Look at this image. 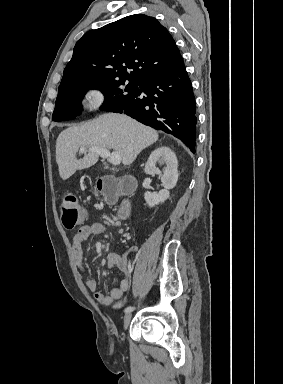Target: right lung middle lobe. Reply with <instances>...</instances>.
Instances as JSON below:
<instances>
[{"instance_id": "obj_1", "label": "right lung middle lobe", "mask_w": 283, "mask_h": 384, "mask_svg": "<svg viewBox=\"0 0 283 384\" xmlns=\"http://www.w3.org/2000/svg\"><path fill=\"white\" fill-rule=\"evenodd\" d=\"M138 82L126 79L107 80L97 83L70 84L59 87L56 105L53 112V121H64L76 118L81 110V101L89 89L101 90L105 101L102 110H108L125 100L135 98L138 93Z\"/></svg>"}]
</instances>
